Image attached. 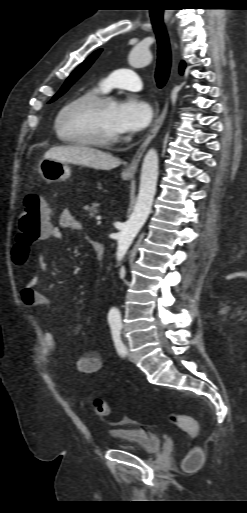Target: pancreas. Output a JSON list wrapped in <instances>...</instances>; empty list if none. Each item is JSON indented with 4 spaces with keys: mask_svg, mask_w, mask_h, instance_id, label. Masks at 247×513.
I'll use <instances>...</instances> for the list:
<instances>
[{
    "mask_svg": "<svg viewBox=\"0 0 247 513\" xmlns=\"http://www.w3.org/2000/svg\"><path fill=\"white\" fill-rule=\"evenodd\" d=\"M99 204L93 203L91 207H87V210L89 212V216L91 218L95 217L99 213Z\"/></svg>",
    "mask_w": 247,
    "mask_h": 513,
    "instance_id": "obj_1",
    "label": "pancreas"
}]
</instances>
